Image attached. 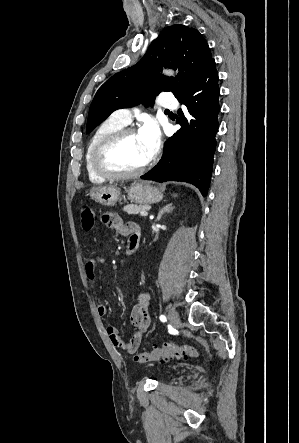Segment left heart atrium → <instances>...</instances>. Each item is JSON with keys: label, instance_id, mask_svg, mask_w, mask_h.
<instances>
[{"label": "left heart atrium", "instance_id": "left-heart-atrium-1", "mask_svg": "<svg viewBox=\"0 0 299 443\" xmlns=\"http://www.w3.org/2000/svg\"><path fill=\"white\" fill-rule=\"evenodd\" d=\"M150 160L158 151L160 145V131L153 120H147L138 132Z\"/></svg>", "mask_w": 299, "mask_h": 443}]
</instances>
